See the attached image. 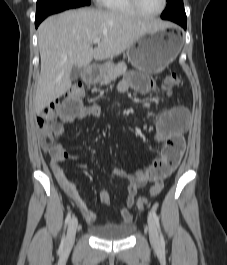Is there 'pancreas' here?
I'll list each match as a JSON object with an SVG mask.
<instances>
[{
    "mask_svg": "<svg viewBox=\"0 0 227 265\" xmlns=\"http://www.w3.org/2000/svg\"><path fill=\"white\" fill-rule=\"evenodd\" d=\"M127 70V65L125 62H120L117 65H111L106 69V72L103 74L102 78L100 79V84L104 85L110 83L112 80L116 79L117 77L124 75Z\"/></svg>",
    "mask_w": 227,
    "mask_h": 265,
    "instance_id": "cf45deb5",
    "label": "pancreas"
}]
</instances>
